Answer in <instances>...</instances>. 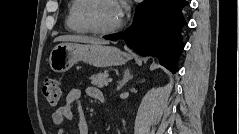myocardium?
Segmentation results:
<instances>
[{"instance_id": "1", "label": "myocardium", "mask_w": 239, "mask_h": 134, "mask_svg": "<svg viewBox=\"0 0 239 134\" xmlns=\"http://www.w3.org/2000/svg\"><path fill=\"white\" fill-rule=\"evenodd\" d=\"M100 1L102 0H87L82 11V21L84 25L87 27V29L94 34L105 35V34L113 33L122 26L121 19L119 20L117 24L109 28H100L94 22L93 10L96 4Z\"/></svg>"}]
</instances>
